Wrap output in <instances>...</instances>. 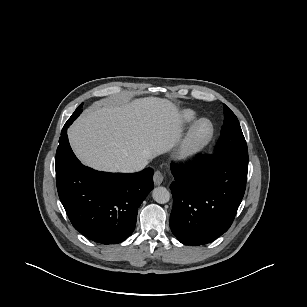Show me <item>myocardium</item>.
Returning a JSON list of instances; mask_svg holds the SVG:
<instances>
[{"mask_svg":"<svg viewBox=\"0 0 307 307\" xmlns=\"http://www.w3.org/2000/svg\"><path fill=\"white\" fill-rule=\"evenodd\" d=\"M204 125L208 127V130L203 136H200L199 131ZM214 134L215 128L209 119L197 120L189 129L178 151V158L187 161L196 157L211 143Z\"/></svg>","mask_w":307,"mask_h":307,"instance_id":"myocardium-1","label":"myocardium"}]
</instances>
